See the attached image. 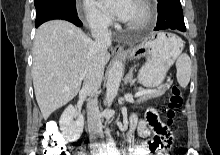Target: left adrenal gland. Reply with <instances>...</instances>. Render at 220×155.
<instances>
[{
    "label": "left adrenal gland",
    "instance_id": "1",
    "mask_svg": "<svg viewBox=\"0 0 220 155\" xmlns=\"http://www.w3.org/2000/svg\"><path fill=\"white\" fill-rule=\"evenodd\" d=\"M133 69H134V68H132V69L128 72V74L126 75L125 81H124V84H125V85H127V84H129L130 86L134 85L135 80L133 79Z\"/></svg>",
    "mask_w": 220,
    "mask_h": 155
}]
</instances>
